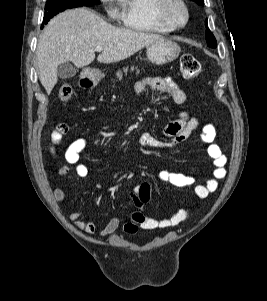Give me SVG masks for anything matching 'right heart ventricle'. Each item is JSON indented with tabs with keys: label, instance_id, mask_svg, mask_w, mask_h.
Returning a JSON list of instances; mask_svg holds the SVG:
<instances>
[{
	"label": "right heart ventricle",
	"instance_id": "e07e8e85",
	"mask_svg": "<svg viewBox=\"0 0 267 301\" xmlns=\"http://www.w3.org/2000/svg\"><path fill=\"white\" fill-rule=\"evenodd\" d=\"M159 0H122L123 25L133 31L169 33L174 29L157 12Z\"/></svg>",
	"mask_w": 267,
	"mask_h": 301
}]
</instances>
